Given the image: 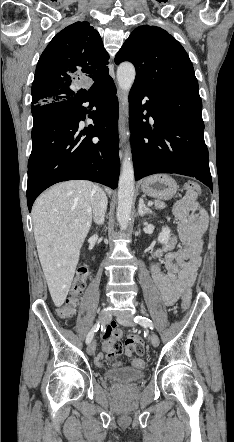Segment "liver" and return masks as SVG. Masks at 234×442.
Segmentation results:
<instances>
[{"label":"liver","mask_w":234,"mask_h":442,"mask_svg":"<svg viewBox=\"0 0 234 442\" xmlns=\"http://www.w3.org/2000/svg\"><path fill=\"white\" fill-rule=\"evenodd\" d=\"M93 187L84 180L59 183L41 194L32 208L38 256L56 307L66 300L91 228Z\"/></svg>","instance_id":"1"}]
</instances>
